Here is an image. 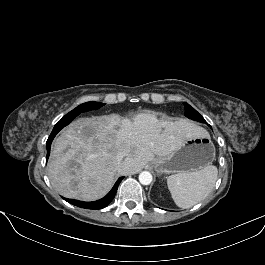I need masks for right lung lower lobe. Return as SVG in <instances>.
<instances>
[{
	"instance_id": "98d812e1",
	"label": "right lung lower lobe",
	"mask_w": 265,
	"mask_h": 265,
	"mask_svg": "<svg viewBox=\"0 0 265 265\" xmlns=\"http://www.w3.org/2000/svg\"><path fill=\"white\" fill-rule=\"evenodd\" d=\"M68 125V124H67ZM64 126H55L52 133L50 134L47 142H46V146H47V156H46V160L49 157L50 154V147H51V143L54 139V137L56 136V134L63 128ZM124 177H120L117 182L115 183V185L113 186V188L111 189V191L102 199L97 200V201H93V202H83V201H79V200H74V199H68V198H64L67 202H69L70 204H73L75 206H78L80 208H86V209H102L104 207H106L114 198L116 192H117V188L119 183L122 181Z\"/></svg>"
}]
</instances>
